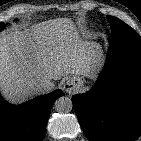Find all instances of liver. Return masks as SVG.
Wrapping results in <instances>:
<instances>
[{"label": "liver", "instance_id": "6515ba94", "mask_svg": "<svg viewBox=\"0 0 141 141\" xmlns=\"http://www.w3.org/2000/svg\"><path fill=\"white\" fill-rule=\"evenodd\" d=\"M75 26L60 18L37 24L31 31L0 34V90L12 102H23L38 93L42 79L65 75L92 76L102 60L99 45L71 38Z\"/></svg>", "mask_w": 141, "mask_h": 141}]
</instances>
